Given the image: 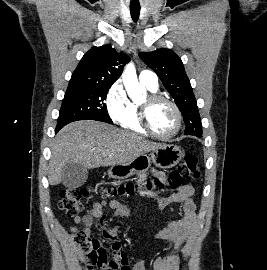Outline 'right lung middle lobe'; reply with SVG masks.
Masks as SVG:
<instances>
[{"instance_id":"right-lung-middle-lobe-1","label":"right lung middle lobe","mask_w":267,"mask_h":270,"mask_svg":"<svg viewBox=\"0 0 267 270\" xmlns=\"http://www.w3.org/2000/svg\"><path fill=\"white\" fill-rule=\"evenodd\" d=\"M111 85L69 84L60 109L57 127L78 120H97L112 124L106 96Z\"/></svg>"}]
</instances>
